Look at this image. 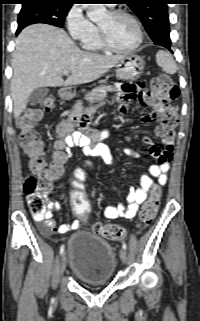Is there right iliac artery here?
Listing matches in <instances>:
<instances>
[{"mask_svg": "<svg viewBox=\"0 0 200 321\" xmlns=\"http://www.w3.org/2000/svg\"><path fill=\"white\" fill-rule=\"evenodd\" d=\"M64 248H65V246H64V245H62V246L60 247V255H62V254H63V252H64Z\"/></svg>", "mask_w": 200, "mask_h": 321, "instance_id": "right-iliac-artery-1", "label": "right iliac artery"}]
</instances>
